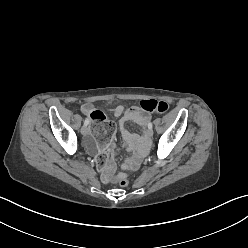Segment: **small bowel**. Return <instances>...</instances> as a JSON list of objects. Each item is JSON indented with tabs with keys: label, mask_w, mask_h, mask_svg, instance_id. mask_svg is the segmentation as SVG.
Segmentation results:
<instances>
[{
	"label": "small bowel",
	"mask_w": 248,
	"mask_h": 248,
	"mask_svg": "<svg viewBox=\"0 0 248 248\" xmlns=\"http://www.w3.org/2000/svg\"><path fill=\"white\" fill-rule=\"evenodd\" d=\"M81 111L90 117L91 112L94 111V107L91 103H85L82 105ZM113 114L119 118L120 133L125 142L126 149L133 154L131 158L121 164V168L134 171L139 168L146 151V139L141 135L130 132L126 125L129 122H133L142 128H146L151 117L147 112L141 110L139 106L125 108L122 105H118L113 109ZM86 146L91 151L96 149L94 146V138L90 134L86 138ZM107 150L111 152L112 158L103 171V180L105 182H111V175L116 169V163L114 161L115 150L111 146H108Z\"/></svg>",
	"instance_id": "c3829d8e"
}]
</instances>
